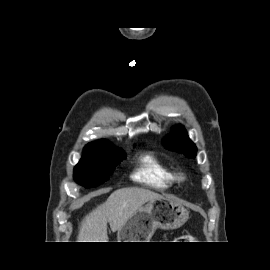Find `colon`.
<instances>
[{"instance_id":"5ec220e1","label":"colon","mask_w":270,"mask_h":270,"mask_svg":"<svg viewBox=\"0 0 270 270\" xmlns=\"http://www.w3.org/2000/svg\"><path fill=\"white\" fill-rule=\"evenodd\" d=\"M179 239H188V236H181Z\"/></svg>"}]
</instances>
